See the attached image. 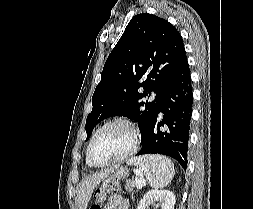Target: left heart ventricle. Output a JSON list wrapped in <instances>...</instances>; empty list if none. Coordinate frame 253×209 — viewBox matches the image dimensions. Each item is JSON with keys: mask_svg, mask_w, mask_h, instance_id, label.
Instances as JSON below:
<instances>
[{"mask_svg": "<svg viewBox=\"0 0 253 209\" xmlns=\"http://www.w3.org/2000/svg\"><path fill=\"white\" fill-rule=\"evenodd\" d=\"M131 133L121 124H113L104 128L96 137L92 158L96 163H104L124 153L131 145Z\"/></svg>", "mask_w": 253, "mask_h": 209, "instance_id": "b2bd125f", "label": "left heart ventricle"}]
</instances>
